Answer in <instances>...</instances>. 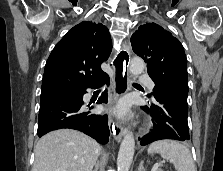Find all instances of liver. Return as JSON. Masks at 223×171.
I'll return each instance as SVG.
<instances>
[{"label":"liver","instance_id":"6515ba94","mask_svg":"<svg viewBox=\"0 0 223 171\" xmlns=\"http://www.w3.org/2000/svg\"><path fill=\"white\" fill-rule=\"evenodd\" d=\"M32 171H92L100 145L72 129H60L43 136L36 144Z\"/></svg>","mask_w":223,"mask_h":171}]
</instances>
